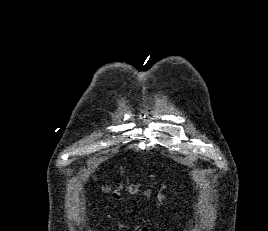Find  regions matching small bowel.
Wrapping results in <instances>:
<instances>
[{"mask_svg":"<svg viewBox=\"0 0 268 231\" xmlns=\"http://www.w3.org/2000/svg\"><path fill=\"white\" fill-rule=\"evenodd\" d=\"M141 230H142V231H148V229H147L146 226L142 227Z\"/></svg>","mask_w":268,"mask_h":231,"instance_id":"c3829d8e","label":"small bowel"}]
</instances>
